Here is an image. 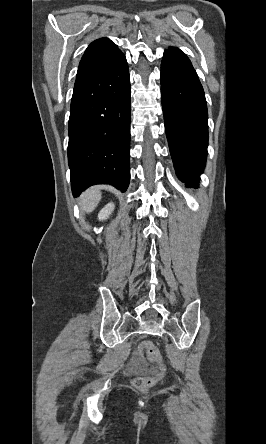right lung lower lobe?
Segmentation results:
<instances>
[{
    "label": "right lung lower lobe",
    "mask_w": 266,
    "mask_h": 444,
    "mask_svg": "<svg viewBox=\"0 0 266 444\" xmlns=\"http://www.w3.org/2000/svg\"><path fill=\"white\" fill-rule=\"evenodd\" d=\"M130 111V76L124 54L100 76L74 90L68 125L74 196L95 184L127 190Z\"/></svg>",
    "instance_id": "obj_1"
}]
</instances>
